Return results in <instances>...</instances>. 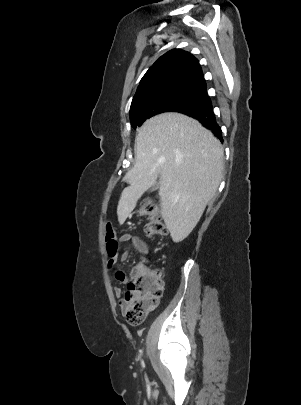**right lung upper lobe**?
Returning a JSON list of instances; mask_svg holds the SVG:
<instances>
[{
    "label": "right lung upper lobe",
    "instance_id": "1",
    "mask_svg": "<svg viewBox=\"0 0 301 405\" xmlns=\"http://www.w3.org/2000/svg\"><path fill=\"white\" fill-rule=\"evenodd\" d=\"M175 88H190L206 93L198 60L181 49L168 51L149 68L140 81L131 108L143 97Z\"/></svg>",
    "mask_w": 301,
    "mask_h": 405
}]
</instances>
